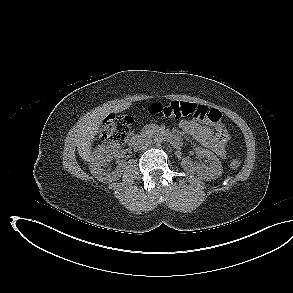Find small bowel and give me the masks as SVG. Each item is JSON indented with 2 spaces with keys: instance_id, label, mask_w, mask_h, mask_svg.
Here are the masks:
<instances>
[{
  "instance_id": "obj_1",
  "label": "small bowel",
  "mask_w": 293,
  "mask_h": 293,
  "mask_svg": "<svg viewBox=\"0 0 293 293\" xmlns=\"http://www.w3.org/2000/svg\"><path fill=\"white\" fill-rule=\"evenodd\" d=\"M180 128L187 134L194 137L204 147L212 150L219 157H226L225 147L219 143L213 130L209 126L194 120H182L180 122Z\"/></svg>"
}]
</instances>
